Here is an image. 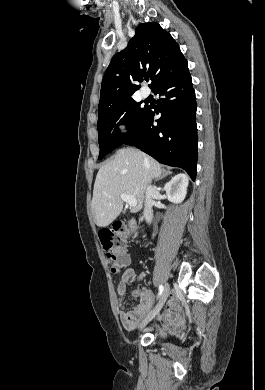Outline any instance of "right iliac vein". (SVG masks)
<instances>
[{"mask_svg": "<svg viewBox=\"0 0 265 390\" xmlns=\"http://www.w3.org/2000/svg\"><path fill=\"white\" fill-rule=\"evenodd\" d=\"M170 292V287L168 284H165L164 290L162 292L161 298L156 305V307L149 312V314L145 317V319L142 321L140 328H143L149 321H151L161 310L163 305L165 304Z\"/></svg>", "mask_w": 265, "mask_h": 390, "instance_id": "right-iliac-vein-1", "label": "right iliac vein"}]
</instances>
